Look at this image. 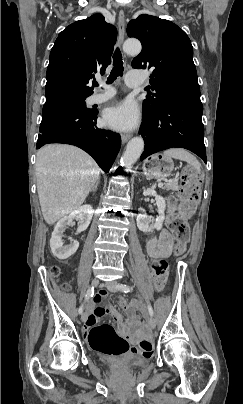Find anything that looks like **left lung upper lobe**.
Masks as SVG:
<instances>
[{
  "mask_svg": "<svg viewBox=\"0 0 243 404\" xmlns=\"http://www.w3.org/2000/svg\"><path fill=\"white\" fill-rule=\"evenodd\" d=\"M127 34L142 43L132 67L152 70L147 88L156 93L144 100L143 117H153L172 101L201 102L193 47L182 29L171 21L142 14L129 22Z\"/></svg>",
  "mask_w": 243,
  "mask_h": 404,
  "instance_id": "obj_1",
  "label": "left lung upper lobe"
}]
</instances>
